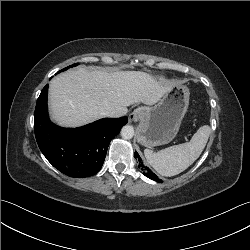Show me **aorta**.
<instances>
[{
	"instance_id": "aorta-1",
	"label": "aorta",
	"mask_w": 250,
	"mask_h": 250,
	"mask_svg": "<svg viewBox=\"0 0 250 250\" xmlns=\"http://www.w3.org/2000/svg\"><path fill=\"white\" fill-rule=\"evenodd\" d=\"M121 136L123 139H131L134 136V128L131 125H125L121 129Z\"/></svg>"
}]
</instances>
